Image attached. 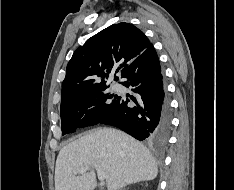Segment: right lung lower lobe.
<instances>
[{
	"label": "right lung lower lobe",
	"instance_id": "1",
	"mask_svg": "<svg viewBox=\"0 0 234 190\" xmlns=\"http://www.w3.org/2000/svg\"><path fill=\"white\" fill-rule=\"evenodd\" d=\"M122 78L126 80L121 84L132 87L137 96H119L112 113L99 123L118 127L140 141L165 144L170 128V107L153 45L127 67ZM130 101L135 105L128 106Z\"/></svg>",
	"mask_w": 234,
	"mask_h": 190
}]
</instances>
